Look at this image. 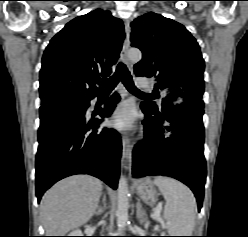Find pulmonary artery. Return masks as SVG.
<instances>
[{
  "instance_id": "pulmonary-artery-1",
  "label": "pulmonary artery",
  "mask_w": 248,
  "mask_h": 237,
  "mask_svg": "<svg viewBox=\"0 0 248 237\" xmlns=\"http://www.w3.org/2000/svg\"><path fill=\"white\" fill-rule=\"evenodd\" d=\"M136 85L139 88H149L150 87V81L146 78H138L136 80Z\"/></svg>"
}]
</instances>
